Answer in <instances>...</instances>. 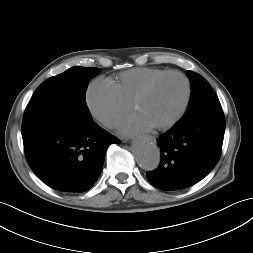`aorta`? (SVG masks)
<instances>
[{
    "label": "aorta",
    "instance_id": "762f6f07",
    "mask_svg": "<svg viewBox=\"0 0 253 253\" xmlns=\"http://www.w3.org/2000/svg\"><path fill=\"white\" fill-rule=\"evenodd\" d=\"M132 152L138 165L144 170L152 171L160 163V150L156 142L149 137L136 140L132 145Z\"/></svg>",
    "mask_w": 253,
    "mask_h": 253
}]
</instances>
